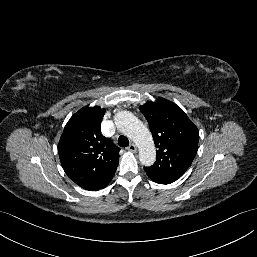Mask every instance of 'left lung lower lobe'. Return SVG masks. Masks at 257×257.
I'll use <instances>...</instances> for the list:
<instances>
[{"mask_svg":"<svg viewBox=\"0 0 257 257\" xmlns=\"http://www.w3.org/2000/svg\"><path fill=\"white\" fill-rule=\"evenodd\" d=\"M148 175V174H147ZM154 182L156 183H159V184H169V183H172V182H168V181H165V180H162V179H159V178H156V177H153L151 175H148Z\"/></svg>","mask_w":257,"mask_h":257,"instance_id":"1","label":"left lung lower lobe"}]
</instances>
